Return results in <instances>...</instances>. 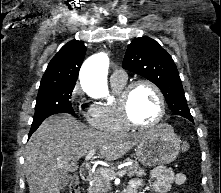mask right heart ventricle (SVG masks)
Segmentation results:
<instances>
[{"mask_svg":"<svg viewBox=\"0 0 221 193\" xmlns=\"http://www.w3.org/2000/svg\"><path fill=\"white\" fill-rule=\"evenodd\" d=\"M126 85V81L117 82L111 80V86L115 100L111 102H102L90 106L87 116L89 123L96 129L106 132H125L129 129L120 114L117 98L121 93L123 87Z\"/></svg>","mask_w":221,"mask_h":193,"instance_id":"e07e8e85","label":"right heart ventricle"}]
</instances>
